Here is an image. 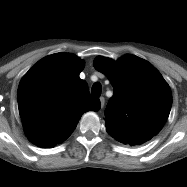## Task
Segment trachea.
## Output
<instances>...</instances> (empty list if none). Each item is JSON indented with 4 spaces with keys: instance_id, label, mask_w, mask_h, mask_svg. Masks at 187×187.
I'll return each mask as SVG.
<instances>
[{
    "instance_id": "3493384b",
    "label": "trachea",
    "mask_w": 187,
    "mask_h": 187,
    "mask_svg": "<svg viewBox=\"0 0 187 187\" xmlns=\"http://www.w3.org/2000/svg\"><path fill=\"white\" fill-rule=\"evenodd\" d=\"M101 84L99 82H96L93 84L92 89H91V96L93 97H99L101 96Z\"/></svg>"
}]
</instances>
